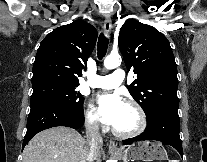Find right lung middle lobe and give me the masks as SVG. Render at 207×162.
Listing matches in <instances>:
<instances>
[{"label": "right lung middle lobe", "instance_id": "1", "mask_svg": "<svg viewBox=\"0 0 207 162\" xmlns=\"http://www.w3.org/2000/svg\"><path fill=\"white\" fill-rule=\"evenodd\" d=\"M77 87L63 84H46L33 87L31 103L51 100L73 109L83 110L84 98L76 91Z\"/></svg>", "mask_w": 207, "mask_h": 162}]
</instances>
